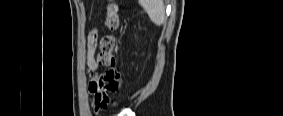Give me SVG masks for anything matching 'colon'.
Listing matches in <instances>:
<instances>
[{"label":"colon","mask_w":283,"mask_h":116,"mask_svg":"<svg viewBox=\"0 0 283 116\" xmlns=\"http://www.w3.org/2000/svg\"><path fill=\"white\" fill-rule=\"evenodd\" d=\"M106 27L110 33L104 35L100 41V53L98 62L107 68V71L102 75V78L109 83V90L116 91L120 88V73L116 67L115 48L116 37L113 32L119 27L118 5L115 1H108ZM115 105V102L108 98L102 103H96L94 109L96 112L105 110Z\"/></svg>","instance_id":"1"}]
</instances>
